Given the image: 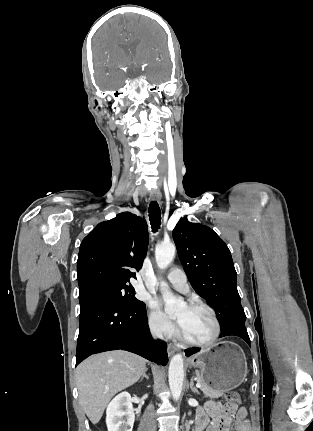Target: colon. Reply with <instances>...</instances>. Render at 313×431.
Segmentation results:
<instances>
[{
    "mask_svg": "<svg viewBox=\"0 0 313 431\" xmlns=\"http://www.w3.org/2000/svg\"><path fill=\"white\" fill-rule=\"evenodd\" d=\"M226 401H227V409L229 410L232 406H237L241 402L240 394L236 391H229L226 394Z\"/></svg>",
    "mask_w": 313,
    "mask_h": 431,
    "instance_id": "5ec220e1",
    "label": "colon"
}]
</instances>
